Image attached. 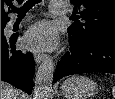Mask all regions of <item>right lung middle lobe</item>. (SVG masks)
Segmentation results:
<instances>
[{
    "label": "right lung middle lobe",
    "instance_id": "right-lung-middle-lobe-1",
    "mask_svg": "<svg viewBox=\"0 0 115 99\" xmlns=\"http://www.w3.org/2000/svg\"><path fill=\"white\" fill-rule=\"evenodd\" d=\"M5 25H6V23H1V33H3Z\"/></svg>",
    "mask_w": 115,
    "mask_h": 99
}]
</instances>
